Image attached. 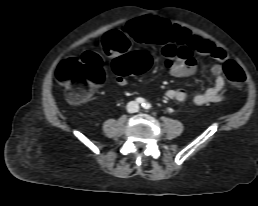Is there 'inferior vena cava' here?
Segmentation results:
<instances>
[{"instance_id":"inferior-vena-cava-1","label":"inferior vena cava","mask_w":258,"mask_h":206,"mask_svg":"<svg viewBox=\"0 0 258 206\" xmlns=\"http://www.w3.org/2000/svg\"><path fill=\"white\" fill-rule=\"evenodd\" d=\"M127 109H128V111L131 112V113L137 112L138 109H139V105H138L137 102L131 101V102L128 103Z\"/></svg>"}]
</instances>
